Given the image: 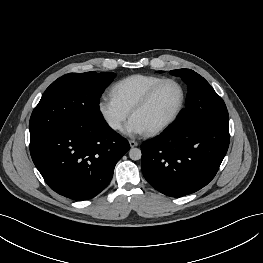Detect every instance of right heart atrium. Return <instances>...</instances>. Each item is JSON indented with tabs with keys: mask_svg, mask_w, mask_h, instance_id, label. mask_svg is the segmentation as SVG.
Masks as SVG:
<instances>
[{
	"mask_svg": "<svg viewBox=\"0 0 263 263\" xmlns=\"http://www.w3.org/2000/svg\"><path fill=\"white\" fill-rule=\"evenodd\" d=\"M98 110L106 125L113 131H118L129 115V111L123 108L111 94L101 96Z\"/></svg>",
	"mask_w": 263,
	"mask_h": 263,
	"instance_id": "right-heart-atrium-1",
	"label": "right heart atrium"
}]
</instances>
